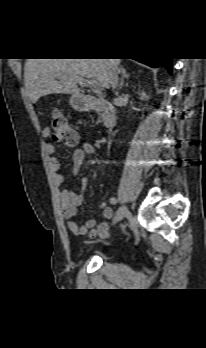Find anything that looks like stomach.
<instances>
[{
	"label": "stomach",
	"instance_id": "stomach-1",
	"mask_svg": "<svg viewBox=\"0 0 206 348\" xmlns=\"http://www.w3.org/2000/svg\"><path fill=\"white\" fill-rule=\"evenodd\" d=\"M70 103L73 107L75 108H80L81 107V103L78 100L77 96L73 95L70 99Z\"/></svg>",
	"mask_w": 206,
	"mask_h": 348
}]
</instances>
